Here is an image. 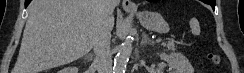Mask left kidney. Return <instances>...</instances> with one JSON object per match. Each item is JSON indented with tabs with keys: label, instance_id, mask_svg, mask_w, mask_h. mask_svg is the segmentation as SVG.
Masks as SVG:
<instances>
[{
	"label": "left kidney",
	"instance_id": "obj_1",
	"mask_svg": "<svg viewBox=\"0 0 244 73\" xmlns=\"http://www.w3.org/2000/svg\"><path fill=\"white\" fill-rule=\"evenodd\" d=\"M160 58L166 61L173 73H194V69L189 60L181 53L174 52L171 54L161 53Z\"/></svg>",
	"mask_w": 244,
	"mask_h": 73
}]
</instances>
